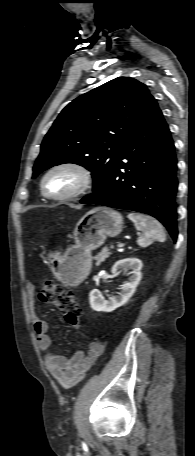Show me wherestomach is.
I'll list each match as a JSON object with an SVG mask.
<instances>
[{"mask_svg":"<svg viewBox=\"0 0 195 456\" xmlns=\"http://www.w3.org/2000/svg\"><path fill=\"white\" fill-rule=\"evenodd\" d=\"M122 228L123 217L118 211L107 207L88 211L75 225V244L62 254H49L48 263L55 276L67 285L81 283L91 269L92 251L103 245L107 236L120 234Z\"/></svg>","mask_w":195,"mask_h":456,"instance_id":"obj_1","label":"stomach"}]
</instances>
